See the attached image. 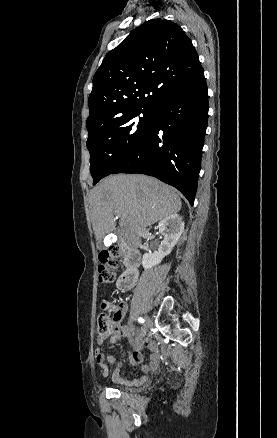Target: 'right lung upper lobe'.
Listing matches in <instances>:
<instances>
[{
    "mask_svg": "<svg viewBox=\"0 0 277 438\" xmlns=\"http://www.w3.org/2000/svg\"><path fill=\"white\" fill-rule=\"evenodd\" d=\"M170 65L178 68L169 71ZM202 72L198 54L182 28L170 20L151 19L110 51L95 73L87 128L153 109L163 94Z\"/></svg>",
    "mask_w": 277,
    "mask_h": 438,
    "instance_id": "obj_1",
    "label": "right lung upper lobe"
}]
</instances>
